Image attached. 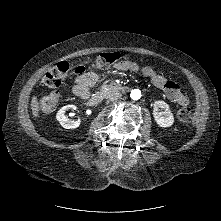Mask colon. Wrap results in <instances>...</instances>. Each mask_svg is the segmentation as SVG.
I'll return each mask as SVG.
<instances>
[{
  "instance_id": "1",
  "label": "colon",
  "mask_w": 221,
  "mask_h": 221,
  "mask_svg": "<svg viewBox=\"0 0 221 221\" xmlns=\"http://www.w3.org/2000/svg\"><path fill=\"white\" fill-rule=\"evenodd\" d=\"M114 63L129 64V60H121L118 53L106 52L101 54L97 60L91 65L97 68H106ZM85 65L74 66L66 61H61L50 68L43 77V84L49 88L59 87L64 79L72 73L81 74L85 72ZM58 101V93L53 91L47 93L41 100V110L44 113L51 112ZM177 117L182 122H189L191 120V108L188 105L182 106L177 112Z\"/></svg>"
}]
</instances>
